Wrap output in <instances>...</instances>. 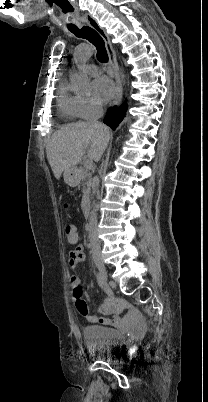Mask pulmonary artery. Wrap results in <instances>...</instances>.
<instances>
[{
  "instance_id": "pulmonary-artery-1",
  "label": "pulmonary artery",
  "mask_w": 208,
  "mask_h": 402,
  "mask_svg": "<svg viewBox=\"0 0 208 402\" xmlns=\"http://www.w3.org/2000/svg\"><path fill=\"white\" fill-rule=\"evenodd\" d=\"M80 51H81V52H84V51H85V48H84V47H81V48H80ZM84 69H85V71H86L87 73H89V74H96L97 71H98L97 66L94 65V64H87V65L84 66Z\"/></svg>"
}]
</instances>
